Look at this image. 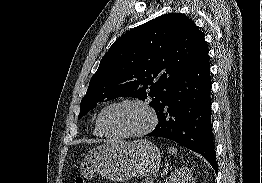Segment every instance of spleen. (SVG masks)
Returning a JSON list of instances; mask_svg holds the SVG:
<instances>
[{
  "label": "spleen",
  "mask_w": 262,
  "mask_h": 183,
  "mask_svg": "<svg viewBox=\"0 0 262 183\" xmlns=\"http://www.w3.org/2000/svg\"><path fill=\"white\" fill-rule=\"evenodd\" d=\"M168 152L171 154L172 153V155L174 154V155H176L177 154V150L175 149V148H168Z\"/></svg>",
  "instance_id": "spleen-1"
}]
</instances>
